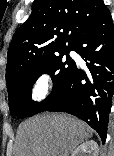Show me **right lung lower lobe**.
Wrapping results in <instances>:
<instances>
[{
  "mask_svg": "<svg viewBox=\"0 0 114 156\" xmlns=\"http://www.w3.org/2000/svg\"><path fill=\"white\" fill-rule=\"evenodd\" d=\"M72 50L88 61V70L75 65L64 89L45 111L80 118L105 142L114 94V25L108 9L76 40Z\"/></svg>",
  "mask_w": 114,
  "mask_h": 156,
  "instance_id": "1",
  "label": "right lung lower lobe"
}]
</instances>
